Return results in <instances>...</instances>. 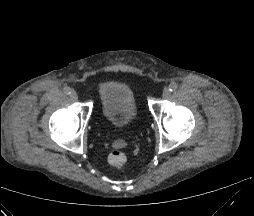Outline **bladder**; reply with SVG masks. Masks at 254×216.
I'll return each instance as SVG.
<instances>
[{"instance_id":"1","label":"bladder","mask_w":254,"mask_h":216,"mask_svg":"<svg viewBox=\"0 0 254 216\" xmlns=\"http://www.w3.org/2000/svg\"><path fill=\"white\" fill-rule=\"evenodd\" d=\"M102 112L107 123L117 131L129 129L136 118L132 89L122 81H106L100 87Z\"/></svg>"}]
</instances>
